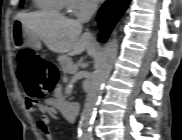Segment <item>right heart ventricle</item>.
Here are the masks:
<instances>
[{
  "mask_svg": "<svg viewBox=\"0 0 182 140\" xmlns=\"http://www.w3.org/2000/svg\"><path fill=\"white\" fill-rule=\"evenodd\" d=\"M35 3L42 11L59 13L67 8L68 0H36Z\"/></svg>",
  "mask_w": 182,
  "mask_h": 140,
  "instance_id": "1",
  "label": "right heart ventricle"
}]
</instances>
